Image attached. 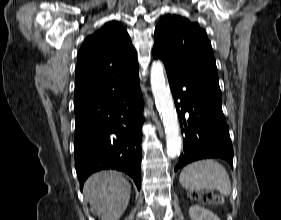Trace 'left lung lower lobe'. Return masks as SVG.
<instances>
[{"mask_svg":"<svg viewBox=\"0 0 281 220\" xmlns=\"http://www.w3.org/2000/svg\"><path fill=\"white\" fill-rule=\"evenodd\" d=\"M183 134V153L175 171L200 159L222 158L233 165V147L221 107V93L200 80L167 72ZM181 108V109H179ZM185 112L189 113L188 120Z\"/></svg>","mask_w":281,"mask_h":220,"instance_id":"obj_1","label":"left lung lower lobe"}]
</instances>
